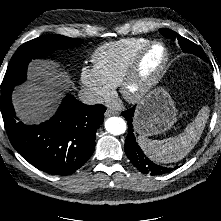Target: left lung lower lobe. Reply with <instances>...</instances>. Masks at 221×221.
Here are the masks:
<instances>
[{
  "label": "left lung lower lobe",
  "mask_w": 221,
  "mask_h": 221,
  "mask_svg": "<svg viewBox=\"0 0 221 221\" xmlns=\"http://www.w3.org/2000/svg\"><path fill=\"white\" fill-rule=\"evenodd\" d=\"M134 110L135 107L122 112V116L125 117V119L128 121V134L126 137L124 149L129 160L139 171L145 174L161 175L172 171L173 170L172 168L156 165L155 163L150 161L139 147L134 136V130L132 124V117L134 114Z\"/></svg>",
  "instance_id": "obj_1"
}]
</instances>
